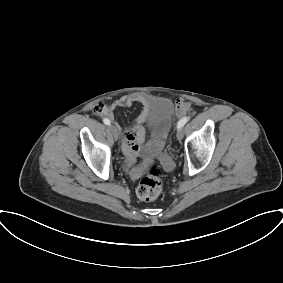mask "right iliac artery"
<instances>
[{
    "label": "right iliac artery",
    "instance_id": "1",
    "mask_svg": "<svg viewBox=\"0 0 283 283\" xmlns=\"http://www.w3.org/2000/svg\"><path fill=\"white\" fill-rule=\"evenodd\" d=\"M103 122H104V124H106V125H110V124H111L110 120L107 119V118L103 119Z\"/></svg>",
    "mask_w": 283,
    "mask_h": 283
}]
</instances>
